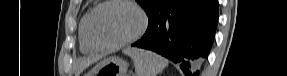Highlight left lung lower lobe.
<instances>
[{
    "mask_svg": "<svg viewBox=\"0 0 287 76\" xmlns=\"http://www.w3.org/2000/svg\"><path fill=\"white\" fill-rule=\"evenodd\" d=\"M144 36L132 44L179 63L186 76H199L218 22V0H168L149 16Z\"/></svg>",
    "mask_w": 287,
    "mask_h": 76,
    "instance_id": "obj_1",
    "label": "left lung lower lobe"
}]
</instances>
